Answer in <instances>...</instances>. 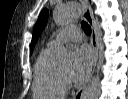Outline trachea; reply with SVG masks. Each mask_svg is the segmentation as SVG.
<instances>
[{
  "mask_svg": "<svg viewBox=\"0 0 128 99\" xmlns=\"http://www.w3.org/2000/svg\"><path fill=\"white\" fill-rule=\"evenodd\" d=\"M81 27H82L83 31L87 35H90L91 34V27H90V25L86 21H82Z\"/></svg>",
  "mask_w": 128,
  "mask_h": 99,
  "instance_id": "trachea-1",
  "label": "trachea"
}]
</instances>
